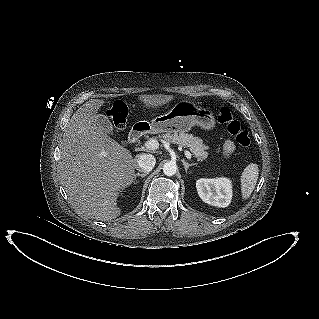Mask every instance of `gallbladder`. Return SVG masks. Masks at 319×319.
<instances>
[{"instance_id": "obj_1", "label": "gallbladder", "mask_w": 319, "mask_h": 319, "mask_svg": "<svg viewBox=\"0 0 319 319\" xmlns=\"http://www.w3.org/2000/svg\"><path fill=\"white\" fill-rule=\"evenodd\" d=\"M96 123L100 126L106 133L113 132V125L108 117L103 114H98L96 116Z\"/></svg>"}]
</instances>
